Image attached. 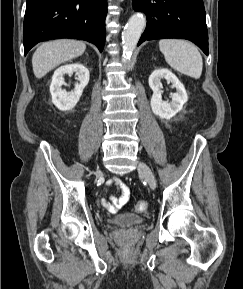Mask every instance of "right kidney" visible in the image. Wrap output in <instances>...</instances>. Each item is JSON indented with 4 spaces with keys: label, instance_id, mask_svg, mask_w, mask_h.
I'll use <instances>...</instances> for the list:
<instances>
[{
    "label": "right kidney",
    "instance_id": "right-kidney-1",
    "mask_svg": "<svg viewBox=\"0 0 243 289\" xmlns=\"http://www.w3.org/2000/svg\"><path fill=\"white\" fill-rule=\"evenodd\" d=\"M73 73L77 76L78 82L75 84L74 91L67 92L62 89V85L65 84L64 75ZM89 77L88 69L80 63L67 64L56 69L50 85L53 104L61 111L73 109L79 101L83 89L87 86Z\"/></svg>",
    "mask_w": 243,
    "mask_h": 289
}]
</instances>
